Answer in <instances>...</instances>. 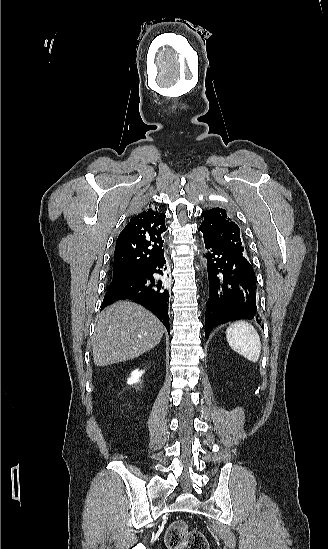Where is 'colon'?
Returning a JSON list of instances; mask_svg holds the SVG:
<instances>
[{
  "instance_id": "colon-1",
  "label": "colon",
  "mask_w": 328,
  "mask_h": 549,
  "mask_svg": "<svg viewBox=\"0 0 328 549\" xmlns=\"http://www.w3.org/2000/svg\"><path fill=\"white\" fill-rule=\"evenodd\" d=\"M165 543L169 549H208L205 535L197 530H190L184 520L170 524L165 533Z\"/></svg>"
}]
</instances>
